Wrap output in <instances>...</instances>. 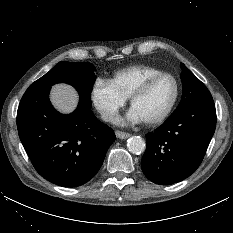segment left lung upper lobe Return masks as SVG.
Masks as SVG:
<instances>
[{
	"label": "left lung upper lobe",
	"instance_id": "1",
	"mask_svg": "<svg viewBox=\"0 0 233 233\" xmlns=\"http://www.w3.org/2000/svg\"><path fill=\"white\" fill-rule=\"evenodd\" d=\"M181 68V81L183 84L182 99L173 114H177L195 103L212 99L206 86L183 63L181 64Z\"/></svg>",
	"mask_w": 233,
	"mask_h": 233
}]
</instances>
